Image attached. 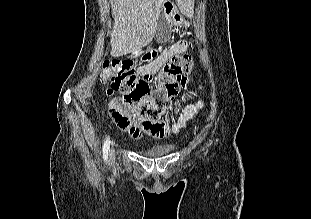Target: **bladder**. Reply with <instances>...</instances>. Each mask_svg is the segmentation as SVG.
I'll return each mask as SVG.
<instances>
[{"label": "bladder", "mask_w": 311, "mask_h": 219, "mask_svg": "<svg viewBox=\"0 0 311 219\" xmlns=\"http://www.w3.org/2000/svg\"><path fill=\"white\" fill-rule=\"evenodd\" d=\"M174 148L172 146H153L145 152L147 157L157 158L170 154Z\"/></svg>", "instance_id": "bladder-1"}]
</instances>
